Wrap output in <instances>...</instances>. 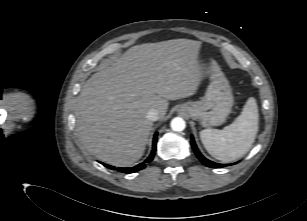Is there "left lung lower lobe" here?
I'll use <instances>...</instances> for the list:
<instances>
[{
  "instance_id": "left-lung-lower-lobe-1",
  "label": "left lung lower lobe",
  "mask_w": 307,
  "mask_h": 221,
  "mask_svg": "<svg viewBox=\"0 0 307 221\" xmlns=\"http://www.w3.org/2000/svg\"><path fill=\"white\" fill-rule=\"evenodd\" d=\"M191 144H192V147H193V150L196 154V156L199 158V160L206 166L208 167H212V168H222V167H225V166H230L232 164H218V163H215V162H212L208 159H206L201 153L200 151L198 150L196 144H195V141H194V138L193 136L191 137Z\"/></svg>"
}]
</instances>
